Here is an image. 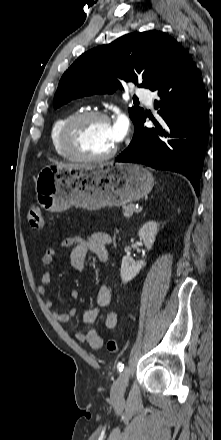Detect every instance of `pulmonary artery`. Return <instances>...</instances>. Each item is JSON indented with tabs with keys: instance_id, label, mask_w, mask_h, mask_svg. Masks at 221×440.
Listing matches in <instances>:
<instances>
[{
	"instance_id": "1",
	"label": "pulmonary artery",
	"mask_w": 221,
	"mask_h": 440,
	"mask_svg": "<svg viewBox=\"0 0 221 440\" xmlns=\"http://www.w3.org/2000/svg\"><path fill=\"white\" fill-rule=\"evenodd\" d=\"M137 96L143 100L148 106H152V92L148 89H139L136 92Z\"/></svg>"
}]
</instances>
